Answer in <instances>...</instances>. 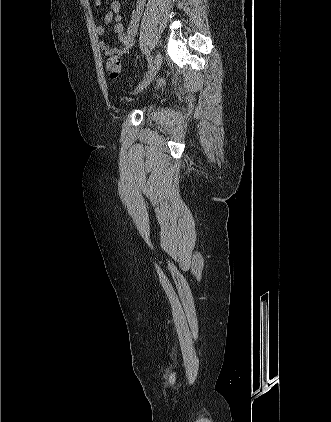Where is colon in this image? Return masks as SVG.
Masks as SVG:
<instances>
[{"instance_id":"colon-1","label":"colon","mask_w":331,"mask_h":422,"mask_svg":"<svg viewBox=\"0 0 331 422\" xmlns=\"http://www.w3.org/2000/svg\"><path fill=\"white\" fill-rule=\"evenodd\" d=\"M106 71L110 79L117 80L122 71V63L119 57H112L108 59L106 64Z\"/></svg>"}]
</instances>
